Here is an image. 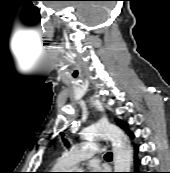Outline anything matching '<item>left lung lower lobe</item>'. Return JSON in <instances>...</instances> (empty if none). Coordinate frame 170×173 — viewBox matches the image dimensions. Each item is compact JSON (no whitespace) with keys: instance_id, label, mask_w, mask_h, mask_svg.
Segmentation results:
<instances>
[{"instance_id":"0a47b994","label":"left lung lower lobe","mask_w":170,"mask_h":173,"mask_svg":"<svg viewBox=\"0 0 170 173\" xmlns=\"http://www.w3.org/2000/svg\"><path fill=\"white\" fill-rule=\"evenodd\" d=\"M134 148H135V154H136V153L138 152V147L135 145ZM134 159H135V166L138 167V165H139V160H138L137 156H135ZM133 173H142V172H139V171L136 169Z\"/></svg>"}]
</instances>
